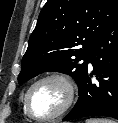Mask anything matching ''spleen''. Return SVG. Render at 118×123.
Returning a JSON list of instances; mask_svg holds the SVG:
<instances>
[{
    "label": "spleen",
    "mask_w": 118,
    "mask_h": 123,
    "mask_svg": "<svg viewBox=\"0 0 118 123\" xmlns=\"http://www.w3.org/2000/svg\"><path fill=\"white\" fill-rule=\"evenodd\" d=\"M85 123H116L114 120L107 118H89Z\"/></svg>",
    "instance_id": "3e777b00"
}]
</instances>
